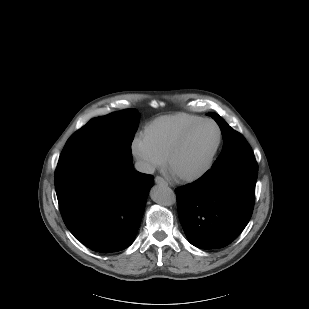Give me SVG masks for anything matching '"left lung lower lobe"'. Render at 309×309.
<instances>
[{
  "label": "left lung lower lobe",
  "instance_id": "obj_1",
  "mask_svg": "<svg viewBox=\"0 0 309 309\" xmlns=\"http://www.w3.org/2000/svg\"><path fill=\"white\" fill-rule=\"evenodd\" d=\"M257 169L253 152H247L176 189L179 219L192 245L222 248L243 231L253 211Z\"/></svg>",
  "mask_w": 309,
  "mask_h": 309
}]
</instances>
